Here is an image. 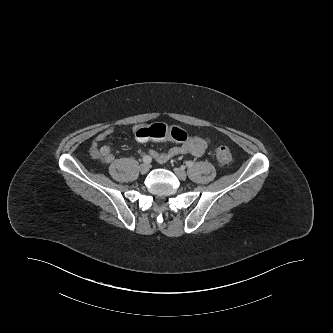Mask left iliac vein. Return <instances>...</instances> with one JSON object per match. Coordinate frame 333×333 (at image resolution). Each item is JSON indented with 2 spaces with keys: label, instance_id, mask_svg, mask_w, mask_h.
I'll return each mask as SVG.
<instances>
[{
  "label": "left iliac vein",
  "instance_id": "4c4485c4",
  "mask_svg": "<svg viewBox=\"0 0 333 333\" xmlns=\"http://www.w3.org/2000/svg\"><path fill=\"white\" fill-rule=\"evenodd\" d=\"M174 172L180 180H185L187 177L185 170L182 168H174Z\"/></svg>",
  "mask_w": 333,
  "mask_h": 333
}]
</instances>
